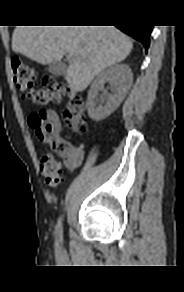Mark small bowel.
I'll return each instance as SVG.
<instances>
[{
	"mask_svg": "<svg viewBox=\"0 0 184 292\" xmlns=\"http://www.w3.org/2000/svg\"><path fill=\"white\" fill-rule=\"evenodd\" d=\"M83 160V147L76 146L71 149L70 155L64 159V166L69 171L75 170Z\"/></svg>",
	"mask_w": 184,
	"mask_h": 292,
	"instance_id": "obj_1",
	"label": "small bowel"
}]
</instances>
